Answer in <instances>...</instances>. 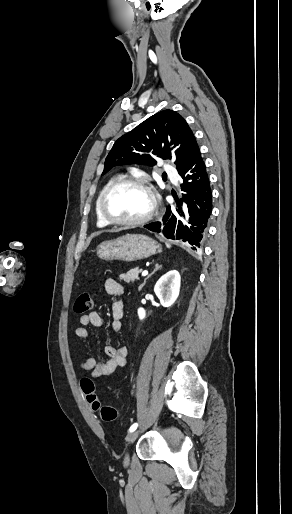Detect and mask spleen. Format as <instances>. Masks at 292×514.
<instances>
[{"mask_svg":"<svg viewBox=\"0 0 292 514\" xmlns=\"http://www.w3.org/2000/svg\"><path fill=\"white\" fill-rule=\"evenodd\" d=\"M167 248H171L170 244H166Z\"/></svg>","mask_w":292,"mask_h":514,"instance_id":"3e777b00","label":"spleen"}]
</instances>
